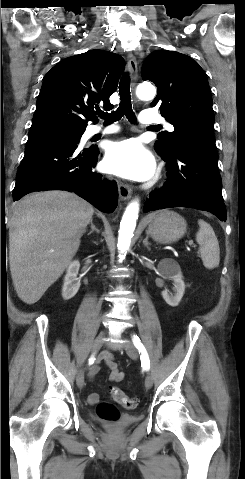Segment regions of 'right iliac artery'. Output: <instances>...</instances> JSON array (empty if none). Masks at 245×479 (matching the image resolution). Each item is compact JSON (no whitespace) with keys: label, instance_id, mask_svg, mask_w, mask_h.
I'll return each instance as SVG.
<instances>
[{"label":"right iliac artery","instance_id":"82829eb1","mask_svg":"<svg viewBox=\"0 0 245 479\" xmlns=\"http://www.w3.org/2000/svg\"><path fill=\"white\" fill-rule=\"evenodd\" d=\"M95 358L94 356H92L90 359H89V364H92L94 362Z\"/></svg>","mask_w":245,"mask_h":479}]
</instances>
